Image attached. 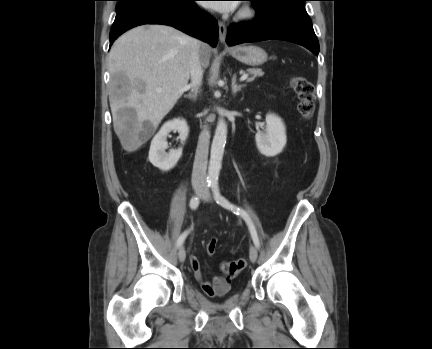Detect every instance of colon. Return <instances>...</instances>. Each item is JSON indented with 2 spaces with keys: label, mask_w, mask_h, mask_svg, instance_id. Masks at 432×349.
<instances>
[{
  "label": "colon",
  "mask_w": 432,
  "mask_h": 349,
  "mask_svg": "<svg viewBox=\"0 0 432 349\" xmlns=\"http://www.w3.org/2000/svg\"><path fill=\"white\" fill-rule=\"evenodd\" d=\"M289 84L298 97V111L300 115L308 120L312 117L315 109V90L314 85L304 77L294 76L290 79ZM217 249L216 239L210 240L207 245V252L209 255L215 254ZM247 265L244 258L237 260L226 261L221 265L224 277L233 279L237 276Z\"/></svg>",
  "instance_id": "5ec220e1"
}]
</instances>
